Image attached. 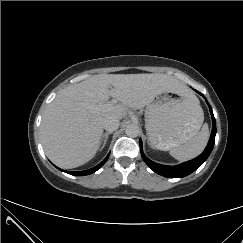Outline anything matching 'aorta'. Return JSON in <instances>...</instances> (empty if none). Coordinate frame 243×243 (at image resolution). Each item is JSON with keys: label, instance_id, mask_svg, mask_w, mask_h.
Instances as JSON below:
<instances>
[{"label": "aorta", "instance_id": "1", "mask_svg": "<svg viewBox=\"0 0 243 243\" xmlns=\"http://www.w3.org/2000/svg\"><path fill=\"white\" fill-rule=\"evenodd\" d=\"M140 129L136 124H129L125 128V133L129 137H137L139 135Z\"/></svg>", "mask_w": 243, "mask_h": 243}]
</instances>
